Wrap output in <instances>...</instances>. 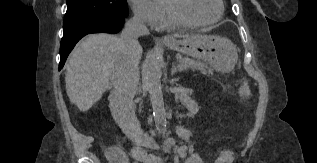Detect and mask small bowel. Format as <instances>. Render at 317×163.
Returning <instances> with one entry per match:
<instances>
[{"mask_svg": "<svg viewBox=\"0 0 317 163\" xmlns=\"http://www.w3.org/2000/svg\"><path fill=\"white\" fill-rule=\"evenodd\" d=\"M191 113H196L197 109L189 105ZM177 134L179 138L186 144L181 146L174 139H169L164 145L167 153L173 154L172 163H203L201 156L193 151L192 136L188 130L178 126ZM109 163H129L127 156L120 152L118 156H111L106 153ZM131 156L134 159L132 163H165L164 159L159 156L148 154L141 148H133Z\"/></svg>", "mask_w": 317, "mask_h": 163, "instance_id": "c3829d8e", "label": "small bowel"}]
</instances>
